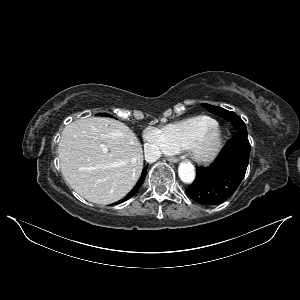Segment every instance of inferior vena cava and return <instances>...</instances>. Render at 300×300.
Returning <instances> with one entry per match:
<instances>
[{"instance_id":"1","label":"inferior vena cava","mask_w":300,"mask_h":300,"mask_svg":"<svg viewBox=\"0 0 300 300\" xmlns=\"http://www.w3.org/2000/svg\"><path fill=\"white\" fill-rule=\"evenodd\" d=\"M161 156V152L156 148L145 149V158L149 162L156 161Z\"/></svg>"}]
</instances>
